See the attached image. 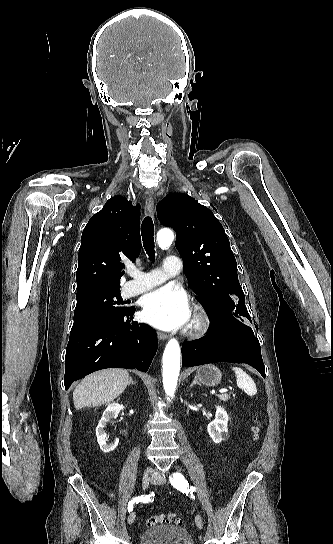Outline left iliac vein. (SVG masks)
<instances>
[{"mask_svg": "<svg viewBox=\"0 0 333 544\" xmlns=\"http://www.w3.org/2000/svg\"><path fill=\"white\" fill-rule=\"evenodd\" d=\"M165 482H166L165 479L162 476H160V475H158L156 473L152 477V483H154V484H160L161 485V484H164ZM195 522H196L197 527L199 529H202L203 520H202V517L199 514L196 515Z\"/></svg>", "mask_w": 333, "mask_h": 544, "instance_id": "left-iliac-vein-1", "label": "left iliac vein"}]
</instances>
